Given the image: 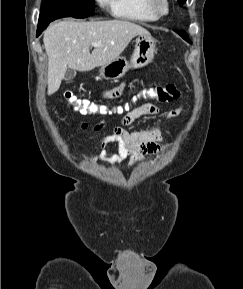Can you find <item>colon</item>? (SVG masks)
I'll return each mask as SVG.
<instances>
[{
  "label": "colon",
  "instance_id": "colon-1",
  "mask_svg": "<svg viewBox=\"0 0 243 289\" xmlns=\"http://www.w3.org/2000/svg\"><path fill=\"white\" fill-rule=\"evenodd\" d=\"M141 95L144 98H150L159 103H170L179 98L180 91L175 84L169 83L164 86L144 89ZM63 97L68 104L73 105L77 111L84 115L106 116L112 112L111 109L104 104L77 98L70 90L65 91Z\"/></svg>",
  "mask_w": 243,
  "mask_h": 289
}]
</instances>
